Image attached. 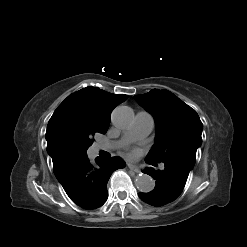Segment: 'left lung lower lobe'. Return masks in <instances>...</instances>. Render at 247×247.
Masks as SVG:
<instances>
[{
    "instance_id": "1",
    "label": "left lung lower lobe",
    "mask_w": 247,
    "mask_h": 247,
    "mask_svg": "<svg viewBox=\"0 0 247 247\" xmlns=\"http://www.w3.org/2000/svg\"><path fill=\"white\" fill-rule=\"evenodd\" d=\"M146 162L151 164V161ZM164 165L162 171L153 168L143 171L156 180V187L149 193H139V196L142 201L153 206H163L174 201L181 194L190 172L177 163L165 162Z\"/></svg>"
}]
</instances>
